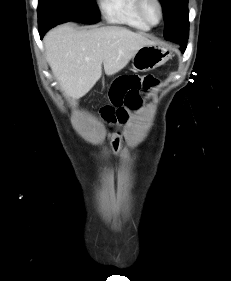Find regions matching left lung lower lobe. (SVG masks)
<instances>
[{
  "mask_svg": "<svg viewBox=\"0 0 231 281\" xmlns=\"http://www.w3.org/2000/svg\"><path fill=\"white\" fill-rule=\"evenodd\" d=\"M169 40L178 42L181 45V51L184 52L186 49L187 45V40H188V32L187 31H181L178 30L174 33H172L168 38Z\"/></svg>",
  "mask_w": 231,
  "mask_h": 281,
  "instance_id": "1",
  "label": "left lung lower lobe"
}]
</instances>
